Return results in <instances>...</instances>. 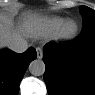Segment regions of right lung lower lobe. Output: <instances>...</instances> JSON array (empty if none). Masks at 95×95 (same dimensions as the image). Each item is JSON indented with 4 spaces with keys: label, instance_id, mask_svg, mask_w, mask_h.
Segmentation results:
<instances>
[{
    "label": "right lung lower lobe",
    "instance_id": "right-lung-lower-lobe-1",
    "mask_svg": "<svg viewBox=\"0 0 95 95\" xmlns=\"http://www.w3.org/2000/svg\"><path fill=\"white\" fill-rule=\"evenodd\" d=\"M37 54L30 47L22 54H17L8 49L0 52V95H17L19 84L26 69Z\"/></svg>",
    "mask_w": 95,
    "mask_h": 95
}]
</instances>
